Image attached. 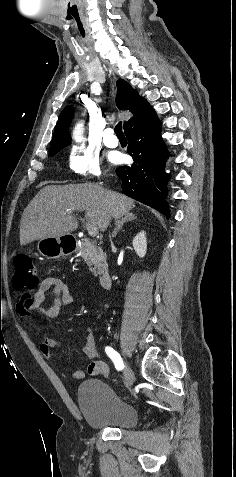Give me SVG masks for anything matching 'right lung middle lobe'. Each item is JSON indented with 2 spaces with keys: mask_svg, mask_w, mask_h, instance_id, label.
Returning <instances> with one entry per match:
<instances>
[{
  "mask_svg": "<svg viewBox=\"0 0 236 477\" xmlns=\"http://www.w3.org/2000/svg\"><path fill=\"white\" fill-rule=\"evenodd\" d=\"M63 148H55L49 151V156H54L57 152H59Z\"/></svg>",
  "mask_w": 236,
  "mask_h": 477,
  "instance_id": "dd1d6c3e",
  "label": "right lung middle lobe"
}]
</instances>
